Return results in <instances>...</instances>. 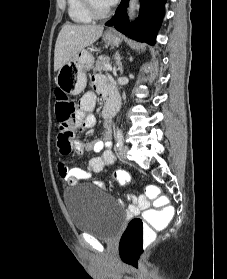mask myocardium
I'll list each match as a JSON object with an SVG mask.
<instances>
[{"label": "myocardium", "mask_w": 227, "mask_h": 279, "mask_svg": "<svg viewBox=\"0 0 227 279\" xmlns=\"http://www.w3.org/2000/svg\"><path fill=\"white\" fill-rule=\"evenodd\" d=\"M83 3V6L87 13L94 19H103L109 16L111 13L112 5H110L106 10L99 11L93 4L92 0H81Z\"/></svg>", "instance_id": "myocardium-1"}]
</instances>
